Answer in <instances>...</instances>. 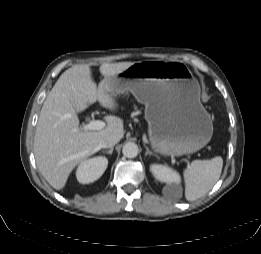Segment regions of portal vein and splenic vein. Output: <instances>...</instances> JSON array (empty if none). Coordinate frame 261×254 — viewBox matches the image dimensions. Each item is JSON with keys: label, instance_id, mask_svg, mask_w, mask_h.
I'll return each mask as SVG.
<instances>
[{"label": "portal vein and splenic vein", "instance_id": "portal-vein-and-splenic-vein-1", "mask_svg": "<svg viewBox=\"0 0 261 254\" xmlns=\"http://www.w3.org/2000/svg\"><path fill=\"white\" fill-rule=\"evenodd\" d=\"M105 127V122L101 120L92 119L88 124L84 125L79 130L87 131V130H101Z\"/></svg>", "mask_w": 261, "mask_h": 254}]
</instances>
